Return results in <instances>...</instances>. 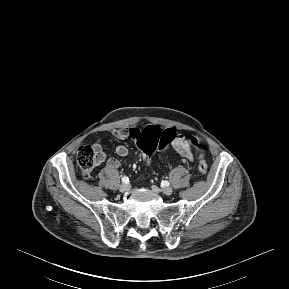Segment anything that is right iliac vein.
<instances>
[{
    "label": "right iliac vein",
    "instance_id": "right-iliac-vein-1",
    "mask_svg": "<svg viewBox=\"0 0 289 289\" xmlns=\"http://www.w3.org/2000/svg\"><path fill=\"white\" fill-rule=\"evenodd\" d=\"M129 188H130V186L127 183H123L120 185L119 190H120V192L124 193V192L128 191Z\"/></svg>",
    "mask_w": 289,
    "mask_h": 289
}]
</instances>
